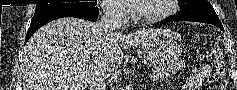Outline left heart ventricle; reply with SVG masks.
I'll use <instances>...</instances> for the list:
<instances>
[{"instance_id": "1", "label": "left heart ventricle", "mask_w": 237, "mask_h": 90, "mask_svg": "<svg viewBox=\"0 0 237 90\" xmlns=\"http://www.w3.org/2000/svg\"><path fill=\"white\" fill-rule=\"evenodd\" d=\"M166 0L137 1L136 7L142 15H155L165 8Z\"/></svg>"}]
</instances>
